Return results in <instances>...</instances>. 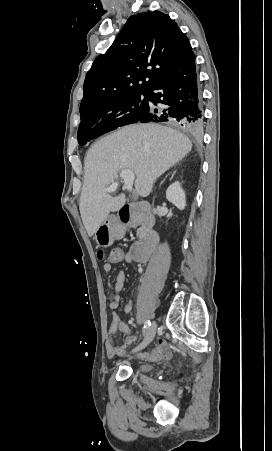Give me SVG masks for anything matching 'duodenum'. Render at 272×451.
Masks as SVG:
<instances>
[{"label":"duodenum","mask_w":272,"mask_h":451,"mask_svg":"<svg viewBox=\"0 0 272 451\" xmlns=\"http://www.w3.org/2000/svg\"><path fill=\"white\" fill-rule=\"evenodd\" d=\"M119 222L122 226L142 225L145 233L129 250V257L137 262H145L155 251L158 244V234L153 230L154 218L150 207L145 203L125 204L119 209ZM121 230L115 232L119 237Z\"/></svg>","instance_id":"obj_1"}]
</instances>
